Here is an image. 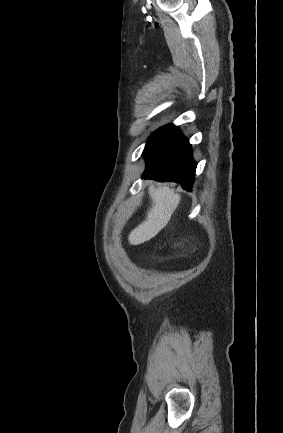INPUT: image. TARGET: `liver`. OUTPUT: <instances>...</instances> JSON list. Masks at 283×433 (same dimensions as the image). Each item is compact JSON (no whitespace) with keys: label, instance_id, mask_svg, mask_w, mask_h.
Returning <instances> with one entry per match:
<instances>
[{"label":"liver","instance_id":"1","mask_svg":"<svg viewBox=\"0 0 283 433\" xmlns=\"http://www.w3.org/2000/svg\"><path fill=\"white\" fill-rule=\"evenodd\" d=\"M154 186L155 184L149 186L152 206L147 212L146 221L131 231L128 237L130 245H141L158 235L159 231L164 229L170 221L171 214L181 200L180 194L174 192V188H169V186L154 188Z\"/></svg>","mask_w":283,"mask_h":433}]
</instances>
